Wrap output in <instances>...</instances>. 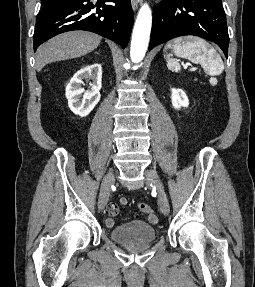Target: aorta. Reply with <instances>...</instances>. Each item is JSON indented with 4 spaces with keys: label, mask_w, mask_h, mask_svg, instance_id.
Instances as JSON below:
<instances>
[{
    "label": "aorta",
    "mask_w": 255,
    "mask_h": 287,
    "mask_svg": "<svg viewBox=\"0 0 255 287\" xmlns=\"http://www.w3.org/2000/svg\"><path fill=\"white\" fill-rule=\"evenodd\" d=\"M152 25V14L149 6L144 4L137 16L132 34L130 56L134 63L140 62L146 53Z\"/></svg>",
    "instance_id": "762f6f07"
}]
</instances>
